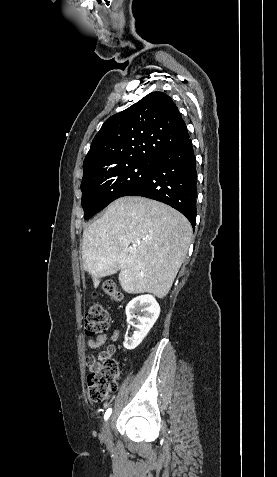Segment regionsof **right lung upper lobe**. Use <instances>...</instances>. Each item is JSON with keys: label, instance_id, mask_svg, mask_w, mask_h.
<instances>
[{"label": "right lung upper lobe", "instance_id": "cb5924a9", "mask_svg": "<svg viewBox=\"0 0 277 477\" xmlns=\"http://www.w3.org/2000/svg\"><path fill=\"white\" fill-rule=\"evenodd\" d=\"M188 139L186 124L173 100L163 92H152L105 121L92 141L83 170L154 162Z\"/></svg>", "mask_w": 277, "mask_h": 477}]
</instances>
